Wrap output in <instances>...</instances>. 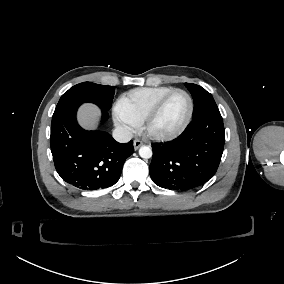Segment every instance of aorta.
I'll use <instances>...</instances> for the list:
<instances>
[{
	"instance_id": "1",
	"label": "aorta",
	"mask_w": 284,
	"mask_h": 284,
	"mask_svg": "<svg viewBox=\"0 0 284 284\" xmlns=\"http://www.w3.org/2000/svg\"><path fill=\"white\" fill-rule=\"evenodd\" d=\"M139 155L141 158L149 159L152 157V149L148 146H142L139 149Z\"/></svg>"
}]
</instances>
